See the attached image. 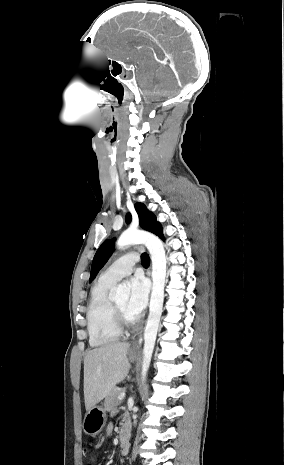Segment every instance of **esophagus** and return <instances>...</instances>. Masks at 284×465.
I'll list each match as a JSON object with an SVG mask.
<instances>
[{
    "label": "esophagus",
    "mask_w": 284,
    "mask_h": 465,
    "mask_svg": "<svg viewBox=\"0 0 284 465\" xmlns=\"http://www.w3.org/2000/svg\"><path fill=\"white\" fill-rule=\"evenodd\" d=\"M140 333L141 332H138L137 335L135 336V339H134V347L135 348L140 346V340H139Z\"/></svg>",
    "instance_id": "1"
}]
</instances>
